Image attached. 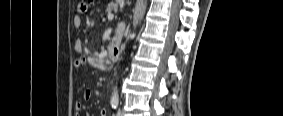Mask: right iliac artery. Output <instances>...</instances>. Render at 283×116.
I'll list each match as a JSON object with an SVG mask.
<instances>
[{"label":"right iliac artery","mask_w":283,"mask_h":116,"mask_svg":"<svg viewBox=\"0 0 283 116\" xmlns=\"http://www.w3.org/2000/svg\"><path fill=\"white\" fill-rule=\"evenodd\" d=\"M111 106H112V108L116 109V107L118 106V103L117 102H112Z\"/></svg>","instance_id":"1"}]
</instances>
